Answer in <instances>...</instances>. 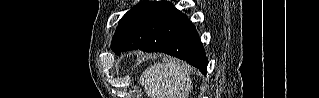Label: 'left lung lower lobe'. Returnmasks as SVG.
Segmentation results:
<instances>
[{"label":"left lung lower lobe","instance_id":"obj_1","mask_svg":"<svg viewBox=\"0 0 319 98\" xmlns=\"http://www.w3.org/2000/svg\"><path fill=\"white\" fill-rule=\"evenodd\" d=\"M133 49L164 52L207 72L208 60L194 25L166 1H158L150 8L136 32L115 53Z\"/></svg>","mask_w":319,"mask_h":98}]
</instances>
